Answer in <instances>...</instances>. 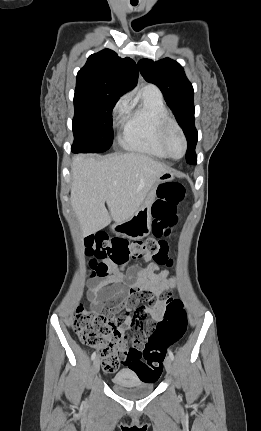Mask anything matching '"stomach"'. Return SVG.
Here are the masks:
<instances>
[{
    "label": "stomach",
    "instance_id": "0dacf381",
    "mask_svg": "<svg viewBox=\"0 0 261 431\" xmlns=\"http://www.w3.org/2000/svg\"><path fill=\"white\" fill-rule=\"evenodd\" d=\"M174 177L175 174L172 171L161 173L139 209L128 220L115 222L111 230L130 239H142L148 236L152 222L151 207L157 197V187L160 183L173 180Z\"/></svg>",
    "mask_w": 261,
    "mask_h": 431
}]
</instances>
